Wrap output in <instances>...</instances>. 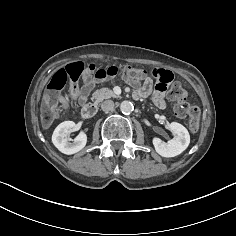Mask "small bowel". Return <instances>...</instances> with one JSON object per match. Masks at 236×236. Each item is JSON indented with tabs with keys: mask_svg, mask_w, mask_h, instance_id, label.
I'll return each mask as SVG.
<instances>
[{
	"mask_svg": "<svg viewBox=\"0 0 236 236\" xmlns=\"http://www.w3.org/2000/svg\"><path fill=\"white\" fill-rule=\"evenodd\" d=\"M165 70L155 69L153 71V77L155 79V85L161 79V74ZM133 85L137 86L138 82H133ZM153 80L151 78H146L143 82L142 86L139 87L135 93L136 97L145 98L149 96L152 92ZM94 87V82L88 81L86 82L80 89L71 90V96L73 99L78 100V102L82 105L87 101V98ZM152 100L154 104L159 108H164L166 106V100L164 97V92H157L156 90L153 92ZM64 108H68L67 100L63 99Z\"/></svg>",
	"mask_w": 236,
	"mask_h": 236,
	"instance_id": "1",
	"label": "small bowel"
}]
</instances>
